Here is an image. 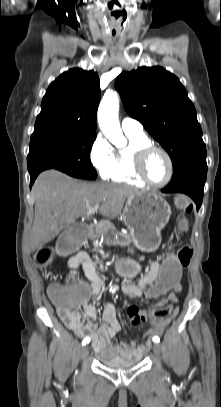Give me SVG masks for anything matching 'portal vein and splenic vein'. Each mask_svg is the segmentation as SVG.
Here are the masks:
<instances>
[{
  "mask_svg": "<svg viewBox=\"0 0 221 407\" xmlns=\"http://www.w3.org/2000/svg\"><path fill=\"white\" fill-rule=\"evenodd\" d=\"M98 209H99V204H97L94 207L90 208L87 211V215L90 216V215L94 214Z\"/></svg>",
  "mask_w": 221,
  "mask_h": 407,
  "instance_id": "portal-vein-and-splenic-vein-1",
  "label": "portal vein and splenic vein"
}]
</instances>
